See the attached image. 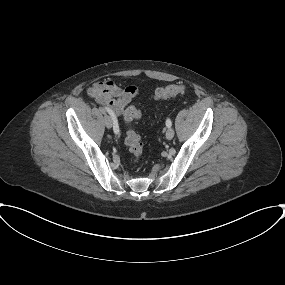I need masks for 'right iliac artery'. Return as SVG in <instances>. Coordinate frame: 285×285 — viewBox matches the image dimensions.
Wrapping results in <instances>:
<instances>
[{
	"mask_svg": "<svg viewBox=\"0 0 285 285\" xmlns=\"http://www.w3.org/2000/svg\"><path fill=\"white\" fill-rule=\"evenodd\" d=\"M104 110H106L110 115H111V118H112V120H113V129H114V132L116 133V134H118L119 133V126H118V122H117V119H116V117L108 110V109H102V112L104 113L105 111Z\"/></svg>",
	"mask_w": 285,
	"mask_h": 285,
	"instance_id": "right-iliac-artery-1",
	"label": "right iliac artery"
}]
</instances>
